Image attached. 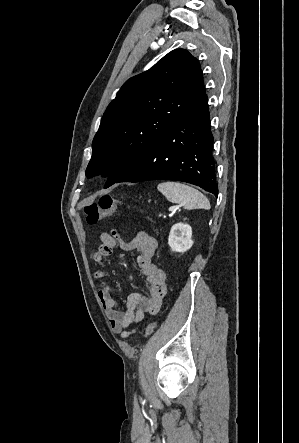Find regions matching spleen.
Masks as SVG:
<instances>
[{
  "instance_id": "obj_1",
  "label": "spleen",
  "mask_w": 299,
  "mask_h": 443,
  "mask_svg": "<svg viewBox=\"0 0 299 443\" xmlns=\"http://www.w3.org/2000/svg\"><path fill=\"white\" fill-rule=\"evenodd\" d=\"M168 201L178 203L185 209H210V202L197 189L179 182H162L157 186Z\"/></svg>"
}]
</instances>
